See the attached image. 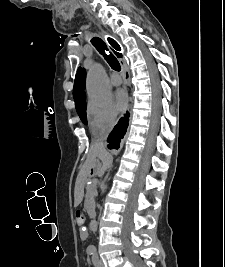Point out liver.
<instances>
[{"label": "liver", "mask_w": 225, "mask_h": 267, "mask_svg": "<svg viewBox=\"0 0 225 267\" xmlns=\"http://www.w3.org/2000/svg\"><path fill=\"white\" fill-rule=\"evenodd\" d=\"M96 158L100 159L102 165L97 164ZM111 161V156L105 150V148L99 146L97 143L91 145L87 160L84 165L81 167L78 179L75 186V194H74V206L77 207L84 195V180L86 176L89 174L91 168H97V172L99 175H102L106 170L108 164Z\"/></svg>", "instance_id": "obj_1"}]
</instances>
